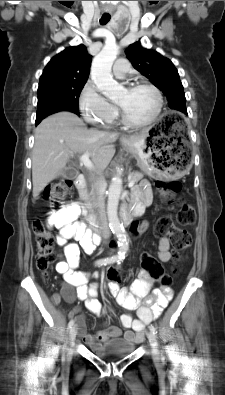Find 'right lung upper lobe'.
Listing matches in <instances>:
<instances>
[{"label": "right lung upper lobe", "instance_id": "right-lung-upper-lobe-1", "mask_svg": "<svg viewBox=\"0 0 225 395\" xmlns=\"http://www.w3.org/2000/svg\"><path fill=\"white\" fill-rule=\"evenodd\" d=\"M91 55L81 44L66 48L46 65L39 85L48 83L86 82L90 72Z\"/></svg>", "mask_w": 225, "mask_h": 395}]
</instances>
